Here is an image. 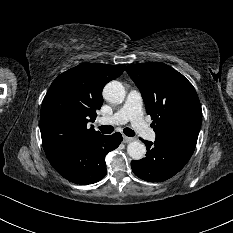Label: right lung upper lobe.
I'll return each instance as SVG.
<instances>
[{
    "label": "right lung upper lobe",
    "mask_w": 233,
    "mask_h": 233,
    "mask_svg": "<svg viewBox=\"0 0 233 233\" xmlns=\"http://www.w3.org/2000/svg\"><path fill=\"white\" fill-rule=\"evenodd\" d=\"M125 65L86 63L60 74L42 102L40 131L45 152L101 135L93 126L103 103L102 89L120 76Z\"/></svg>",
    "instance_id": "right-lung-upper-lobe-1"
}]
</instances>
